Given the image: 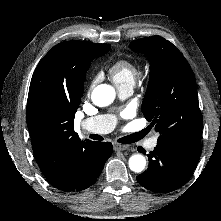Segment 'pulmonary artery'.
<instances>
[{
	"label": "pulmonary artery",
	"instance_id": "1",
	"mask_svg": "<svg viewBox=\"0 0 221 221\" xmlns=\"http://www.w3.org/2000/svg\"><path fill=\"white\" fill-rule=\"evenodd\" d=\"M133 91V86H122L118 88L121 98L128 97ZM116 120L111 115H98L89 117L81 122L83 129L98 134H105L112 131L115 127ZM157 145V137L153 136L148 140V147L154 148Z\"/></svg>",
	"mask_w": 221,
	"mask_h": 221
}]
</instances>
